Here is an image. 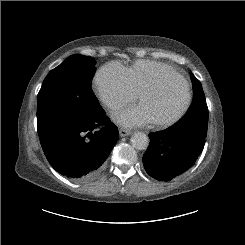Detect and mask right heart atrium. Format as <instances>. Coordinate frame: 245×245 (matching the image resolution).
<instances>
[{
    "instance_id": "1",
    "label": "right heart atrium",
    "mask_w": 245,
    "mask_h": 245,
    "mask_svg": "<svg viewBox=\"0 0 245 245\" xmlns=\"http://www.w3.org/2000/svg\"><path fill=\"white\" fill-rule=\"evenodd\" d=\"M93 87L99 100L112 111L133 102L138 96L126 68L118 62L102 65L94 76Z\"/></svg>"
}]
</instances>
